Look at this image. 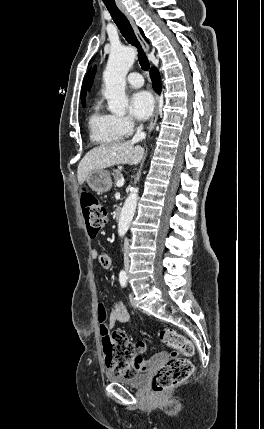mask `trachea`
I'll use <instances>...</instances> for the list:
<instances>
[{
	"instance_id": "1",
	"label": "trachea",
	"mask_w": 264,
	"mask_h": 429,
	"mask_svg": "<svg viewBox=\"0 0 264 429\" xmlns=\"http://www.w3.org/2000/svg\"><path fill=\"white\" fill-rule=\"evenodd\" d=\"M112 19L114 20L115 24L117 25L118 29L120 30L123 37L127 40L128 43L135 46L138 49V60L139 63L144 71H147L149 69V61L147 59L146 54L144 53L143 49L140 46V43L138 42L135 33L133 31V28L131 24L129 23L127 17L124 15V13L116 6V4H106Z\"/></svg>"
}]
</instances>
